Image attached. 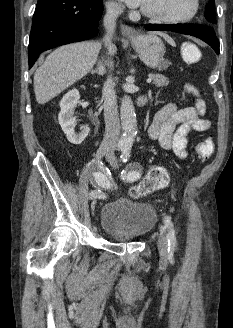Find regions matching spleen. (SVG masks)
Listing matches in <instances>:
<instances>
[{"mask_svg": "<svg viewBox=\"0 0 233 328\" xmlns=\"http://www.w3.org/2000/svg\"><path fill=\"white\" fill-rule=\"evenodd\" d=\"M187 48H190V49H192L193 50V52L195 53V54H198L199 52H198V49L194 46V45H188L187 46Z\"/></svg>", "mask_w": 233, "mask_h": 328, "instance_id": "3e777b00", "label": "spleen"}]
</instances>
